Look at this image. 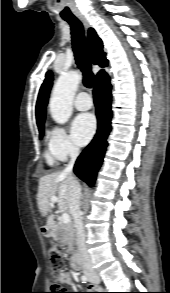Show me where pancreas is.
<instances>
[{"label": "pancreas", "instance_id": "cf45deb5", "mask_svg": "<svg viewBox=\"0 0 170 293\" xmlns=\"http://www.w3.org/2000/svg\"><path fill=\"white\" fill-rule=\"evenodd\" d=\"M53 238L63 246H67V251L74 253L76 245V233L73 223L64 224L58 222L52 231Z\"/></svg>", "mask_w": 170, "mask_h": 293}]
</instances>
